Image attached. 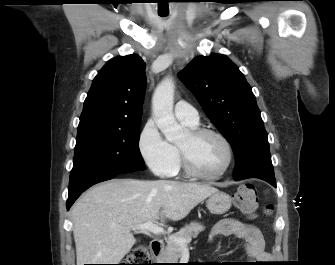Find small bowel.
<instances>
[{
    "label": "small bowel",
    "mask_w": 335,
    "mask_h": 265,
    "mask_svg": "<svg viewBox=\"0 0 335 265\" xmlns=\"http://www.w3.org/2000/svg\"><path fill=\"white\" fill-rule=\"evenodd\" d=\"M217 236H234L244 242L246 254L250 260L256 263H265L269 260V254L265 250V241L261 231L250 224L243 223L233 218H225L215 224L210 240Z\"/></svg>",
    "instance_id": "1"
}]
</instances>
